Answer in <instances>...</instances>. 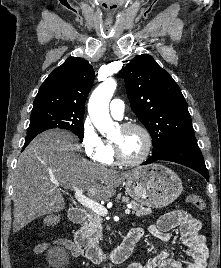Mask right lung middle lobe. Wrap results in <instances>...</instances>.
I'll return each instance as SVG.
<instances>
[{
  "instance_id": "right-lung-middle-lobe-1",
  "label": "right lung middle lobe",
  "mask_w": 221,
  "mask_h": 268,
  "mask_svg": "<svg viewBox=\"0 0 221 268\" xmlns=\"http://www.w3.org/2000/svg\"><path fill=\"white\" fill-rule=\"evenodd\" d=\"M83 117L84 113L64 109L32 111L27 136L37 135L52 128H61L75 133L82 140L84 135Z\"/></svg>"
}]
</instances>
